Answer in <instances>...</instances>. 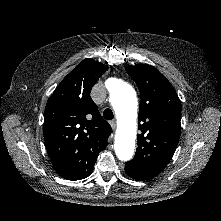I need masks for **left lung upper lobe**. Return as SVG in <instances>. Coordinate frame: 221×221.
Here are the masks:
<instances>
[{
    "instance_id": "1",
    "label": "left lung upper lobe",
    "mask_w": 221,
    "mask_h": 221,
    "mask_svg": "<svg viewBox=\"0 0 221 221\" xmlns=\"http://www.w3.org/2000/svg\"><path fill=\"white\" fill-rule=\"evenodd\" d=\"M141 96L135 157L125 170L139 176H155L172 158L181 132V102L173 86L153 66L126 67Z\"/></svg>"
}]
</instances>
